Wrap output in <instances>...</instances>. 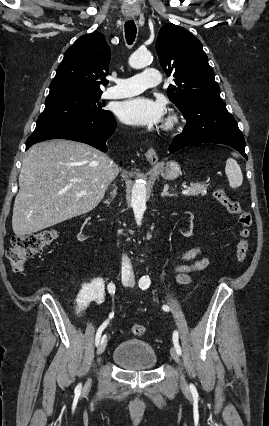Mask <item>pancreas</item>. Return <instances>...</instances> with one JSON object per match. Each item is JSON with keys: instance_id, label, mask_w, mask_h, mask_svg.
Segmentation results:
<instances>
[{"instance_id": "cf45deb5", "label": "pancreas", "mask_w": 269, "mask_h": 426, "mask_svg": "<svg viewBox=\"0 0 269 426\" xmlns=\"http://www.w3.org/2000/svg\"><path fill=\"white\" fill-rule=\"evenodd\" d=\"M207 185L201 183H190L188 195L190 196H205L207 194Z\"/></svg>"}]
</instances>
